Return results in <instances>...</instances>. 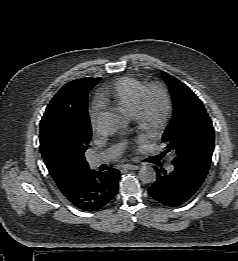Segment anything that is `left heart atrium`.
I'll use <instances>...</instances> for the list:
<instances>
[{
    "label": "left heart atrium",
    "instance_id": "obj_1",
    "mask_svg": "<svg viewBox=\"0 0 238 261\" xmlns=\"http://www.w3.org/2000/svg\"><path fill=\"white\" fill-rule=\"evenodd\" d=\"M138 141H139V142H144V141H145V136L139 137Z\"/></svg>",
    "mask_w": 238,
    "mask_h": 261
}]
</instances>
